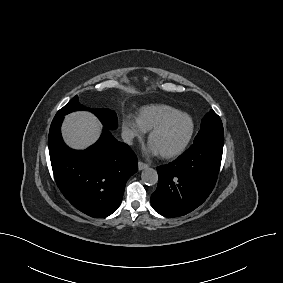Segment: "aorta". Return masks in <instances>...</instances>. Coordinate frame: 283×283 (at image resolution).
<instances>
[{
    "mask_svg": "<svg viewBox=\"0 0 283 283\" xmlns=\"http://www.w3.org/2000/svg\"><path fill=\"white\" fill-rule=\"evenodd\" d=\"M141 179L147 185H155L158 182L157 171L153 168H146L142 171Z\"/></svg>",
    "mask_w": 283,
    "mask_h": 283,
    "instance_id": "762f6f07",
    "label": "aorta"
}]
</instances>
